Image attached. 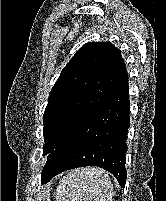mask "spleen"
Returning <instances> with one entry per match:
<instances>
[{"label": "spleen", "instance_id": "3e777b00", "mask_svg": "<svg viewBox=\"0 0 166 201\" xmlns=\"http://www.w3.org/2000/svg\"><path fill=\"white\" fill-rule=\"evenodd\" d=\"M113 185L99 168H80L66 174L56 190V201H113Z\"/></svg>", "mask_w": 166, "mask_h": 201}]
</instances>
